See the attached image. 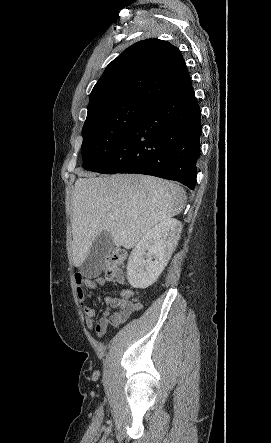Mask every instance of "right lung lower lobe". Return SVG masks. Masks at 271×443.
<instances>
[{
    "label": "right lung lower lobe",
    "mask_w": 271,
    "mask_h": 443,
    "mask_svg": "<svg viewBox=\"0 0 271 443\" xmlns=\"http://www.w3.org/2000/svg\"><path fill=\"white\" fill-rule=\"evenodd\" d=\"M201 112L193 87L152 102L94 172L137 173L196 185Z\"/></svg>",
    "instance_id": "right-lung-lower-lobe-1"
}]
</instances>
